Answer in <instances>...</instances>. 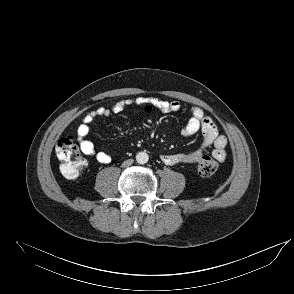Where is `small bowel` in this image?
Listing matches in <instances>:
<instances>
[{"mask_svg":"<svg viewBox=\"0 0 294 294\" xmlns=\"http://www.w3.org/2000/svg\"><path fill=\"white\" fill-rule=\"evenodd\" d=\"M150 104L156 109L168 113L177 112L181 109L179 101H165L155 98H136L120 100L108 107H99L88 112L81 120L76 135L80 144V149L85 155L94 156L102 164L111 162V156L103 150L97 151L94 144L87 139L91 123L99 117H110L114 114L121 113L129 106H138L141 104ZM201 131L203 142L199 148L190 152H179L161 156V160L166 165L193 164L198 163L203 157L206 148L213 146L212 156L217 161H224L227 157L225 150L227 139L224 135L219 134L216 124L206 116L204 111L197 106L191 108V116L181 130L184 137H189Z\"/></svg>","mask_w":294,"mask_h":294,"instance_id":"small-bowel-1","label":"small bowel"}]
</instances>
